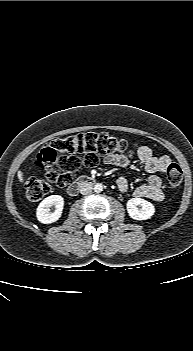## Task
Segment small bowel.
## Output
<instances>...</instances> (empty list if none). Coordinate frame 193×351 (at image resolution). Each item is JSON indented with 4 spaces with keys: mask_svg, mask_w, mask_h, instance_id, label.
<instances>
[{
    "mask_svg": "<svg viewBox=\"0 0 193 351\" xmlns=\"http://www.w3.org/2000/svg\"><path fill=\"white\" fill-rule=\"evenodd\" d=\"M136 155L150 175L144 184L135 188L134 196L147 198L155 202L162 201L164 195L161 188V180L157 173L163 172L167 168L170 158L166 155H154L152 149L148 146H141L137 150ZM132 156V153H114L104 156L103 161L107 165L126 167L130 165ZM117 186L121 192H126L128 190V180L125 177H120L117 180Z\"/></svg>",
    "mask_w": 193,
    "mask_h": 351,
    "instance_id": "small-bowel-1",
    "label": "small bowel"
}]
</instances>
